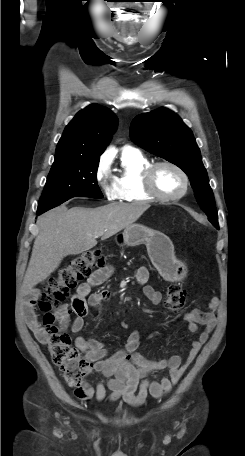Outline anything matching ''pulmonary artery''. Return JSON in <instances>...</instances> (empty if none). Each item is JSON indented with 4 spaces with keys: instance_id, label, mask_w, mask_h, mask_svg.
<instances>
[{
    "instance_id": "pulmonary-artery-1",
    "label": "pulmonary artery",
    "mask_w": 245,
    "mask_h": 456,
    "mask_svg": "<svg viewBox=\"0 0 245 456\" xmlns=\"http://www.w3.org/2000/svg\"><path fill=\"white\" fill-rule=\"evenodd\" d=\"M125 149H134V148H132L130 146H126Z\"/></svg>"
}]
</instances>
